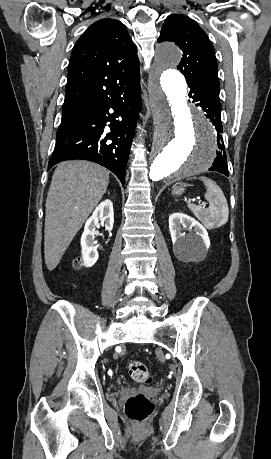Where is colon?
Wrapping results in <instances>:
<instances>
[{"mask_svg": "<svg viewBox=\"0 0 271 459\" xmlns=\"http://www.w3.org/2000/svg\"><path fill=\"white\" fill-rule=\"evenodd\" d=\"M76 1L77 0H69L71 3H75ZM73 265L77 269L80 268L82 265V259H75ZM128 371L131 378L137 382L149 384L152 381L148 368L140 361H132L129 364ZM152 410L153 403L143 394H137L128 398L124 407L126 416L136 423L144 422L149 417Z\"/></svg>", "mask_w": 271, "mask_h": 459, "instance_id": "obj_1", "label": "colon"}]
</instances>
